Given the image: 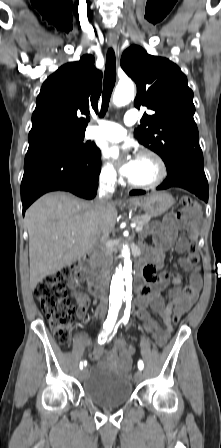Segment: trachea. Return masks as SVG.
Segmentation results:
<instances>
[{"mask_svg":"<svg viewBox=\"0 0 221 448\" xmlns=\"http://www.w3.org/2000/svg\"><path fill=\"white\" fill-rule=\"evenodd\" d=\"M116 81V63H115V53L112 48H110L106 55V66L104 72V83H103V95H102V106L99 116L103 117L107 112L108 105L110 102L111 94L115 86Z\"/></svg>","mask_w":221,"mask_h":448,"instance_id":"trachea-1","label":"trachea"}]
</instances>
